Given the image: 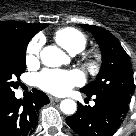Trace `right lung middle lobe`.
I'll use <instances>...</instances> for the list:
<instances>
[{
  "label": "right lung middle lobe",
  "mask_w": 136,
  "mask_h": 136,
  "mask_svg": "<svg viewBox=\"0 0 136 136\" xmlns=\"http://www.w3.org/2000/svg\"><path fill=\"white\" fill-rule=\"evenodd\" d=\"M30 38L15 34L0 38V95L14 93L16 80L26 69L25 55Z\"/></svg>",
  "instance_id": "dd1d6c3e"
}]
</instances>
